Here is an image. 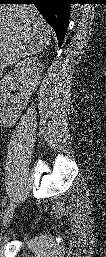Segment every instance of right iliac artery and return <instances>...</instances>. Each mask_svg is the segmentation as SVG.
<instances>
[{
  "instance_id": "right-iliac-artery-1",
  "label": "right iliac artery",
  "mask_w": 106,
  "mask_h": 257,
  "mask_svg": "<svg viewBox=\"0 0 106 257\" xmlns=\"http://www.w3.org/2000/svg\"><path fill=\"white\" fill-rule=\"evenodd\" d=\"M9 205H10V202L7 199H4V201L2 203V207L7 209Z\"/></svg>"
}]
</instances>
